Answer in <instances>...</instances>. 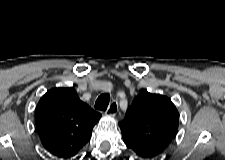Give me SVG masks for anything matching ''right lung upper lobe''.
<instances>
[{"mask_svg":"<svg viewBox=\"0 0 225 160\" xmlns=\"http://www.w3.org/2000/svg\"><path fill=\"white\" fill-rule=\"evenodd\" d=\"M100 114L82 102L75 89L46 92L35 110L42 145L54 156L72 158L86 145Z\"/></svg>","mask_w":225,"mask_h":160,"instance_id":"1","label":"right lung upper lobe"}]
</instances>
